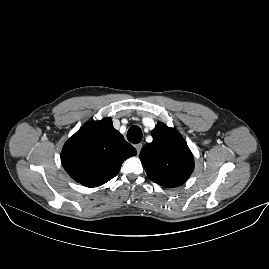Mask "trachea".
<instances>
[{"instance_id":"3493384b","label":"trachea","mask_w":269,"mask_h":269,"mask_svg":"<svg viewBox=\"0 0 269 269\" xmlns=\"http://www.w3.org/2000/svg\"><path fill=\"white\" fill-rule=\"evenodd\" d=\"M142 136L141 129L136 125L131 126L127 132L128 141L134 144L139 143L142 140Z\"/></svg>"}]
</instances>
